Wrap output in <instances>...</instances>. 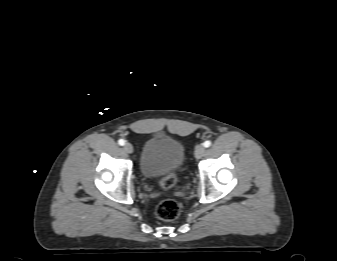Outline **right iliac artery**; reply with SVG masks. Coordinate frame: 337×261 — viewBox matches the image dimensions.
Segmentation results:
<instances>
[{
    "label": "right iliac artery",
    "instance_id": "1",
    "mask_svg": "<svg viewBox=\"0 0 337 261\" xmlns=\"http://www.w3.org/2000/svg\"><path fill=\"white\" fill-rule=\"evenodd\" d=\"M118 144L121 145V146H123V145L125 144V141H124L123 139H120V140L118 141Z\"/></svg>",
    "mask_w": 337,
    "mask_h": 261
}]
</instances>
